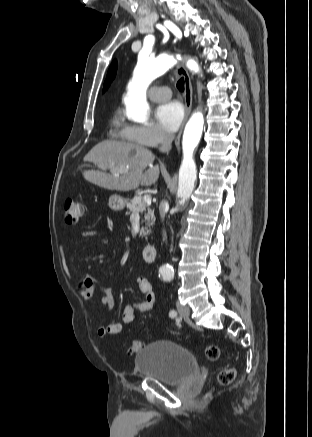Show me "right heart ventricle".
I'll return each instance as SVG.
<instances>
[{"mask_svg": "<svg viewBox=\"0 0 312 437\" xmlns=\"http://www.w3.org/2000/svg\"><path fill=\"white\" fill-rule=\"evenodd\" d=\"M111 128H112L116 138L124 139L123 138V131H124L125 125L123 124L121 115L118 112L112 118Z\"/></svg>", "mask_w": 312, "mask_h": 437, "instance_id": "right-heart-ventricle-1", "label": "right heart ventricle"}]
</instances>
